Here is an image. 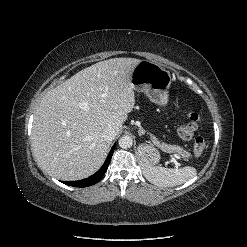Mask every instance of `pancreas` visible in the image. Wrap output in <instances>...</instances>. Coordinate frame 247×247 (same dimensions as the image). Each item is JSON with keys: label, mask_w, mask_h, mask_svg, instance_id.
<instances>
[{"label": "pancreas", "mask_w": 247, "mask_h": 247, "mask_svg": "<svg viewBox=\"0 0 247 247\" xmlns=\"http://www.w3.org/2000/svg\"><path fill=\"white\" fill-rule=\"evenodd\" d=\"M154 141L165 152H168V153H178V154H181L185 158H187V157L190 156V154L187 151L183 150V148L180 147V146L168 145V144H164V143L160 144L155 138H154Z\"/></svg>", "instance_id": "1"}]
</instances>
